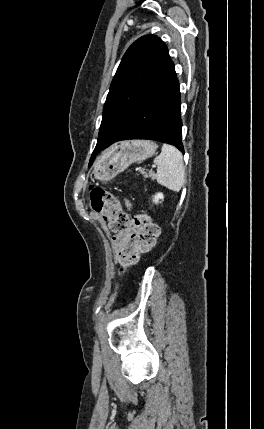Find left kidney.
Instances as JSON below:
<instances>
[{"label":"left kidney","instance_id":"obj_1","mask_svg":"<svg viewBox=\"0 0 264 429\" xmlns=\"http://www.w3.org/2000/svg\"><path fill=\"white\" fill-rule=\"evenodd\" d=\"M163 199H164L163 193H157L153 198V202L157 204L159 200H163Z\"/></svg>","mask_w":264,"mask_h":429}]
</instances>
